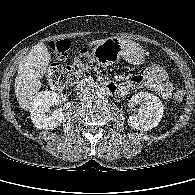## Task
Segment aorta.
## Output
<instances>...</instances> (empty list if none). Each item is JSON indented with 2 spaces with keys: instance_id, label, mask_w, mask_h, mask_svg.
Segmentation results:
<instances>
[{
  "instance_id": "obj_1",
  "label": "aorta",
  "mask_w": 195,
  "mask_h": 195,
  "mask_svg": "<svg viewBox=\"0 0 195 195\" xmlns=\"http://www.w3.org/2000/svg\"><path fill=\"white\" fill-rule=\"evenodd\" d=\"M105 95H106L105 89L96 90V93H95L96 98L102 99V98H104Z\"/></svg>"
}]
</instances>
